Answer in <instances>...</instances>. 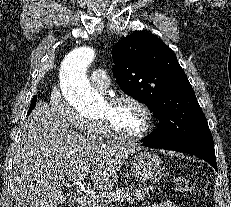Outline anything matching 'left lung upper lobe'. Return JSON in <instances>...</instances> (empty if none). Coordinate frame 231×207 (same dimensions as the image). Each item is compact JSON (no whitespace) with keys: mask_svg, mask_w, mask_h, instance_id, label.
<instances>
[{"mask_svg":"<svg viewBox=\"0 0 231 207\" xmlns=\"http://www.w3.org/2000/svg\"><path fill=\"white\" fill-rule=\"evenodd\" d=\"M120 88L146 104L160 121L148 135L159 146L213 141L206 117L175 53L155 35L137 32L112 49Z\"/></svg>","mask_w":231,"mask_h":207,"instance_id":"5c2ea615","label":"left lung upper lobe"}]
</instances>
